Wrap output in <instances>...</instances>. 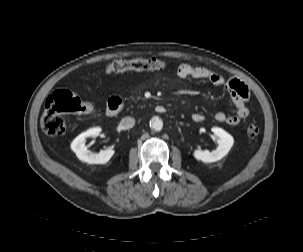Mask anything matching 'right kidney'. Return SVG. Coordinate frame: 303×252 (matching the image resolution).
<instances>
[{"instance_id":"right-kidney-1","label":"right kidney","mask_w":303,"mask_h":252,"mask_svg":"<svg viewBox=\"0 0 303 252\" xmlns=\"http://www.w3.org/2000/svg\"><path fill=\"white\" fill-rule=\"evenodd\" d=\"M100 132L101 128L99 127L91 128L86 132L81 133L73 140L71 143V149L79 160L89 164H106L111 159L115 153L113 149H106L94 154L88 150V147L85 145V140L87 137L96 136Z\"/></svg>"}]
</instances>
